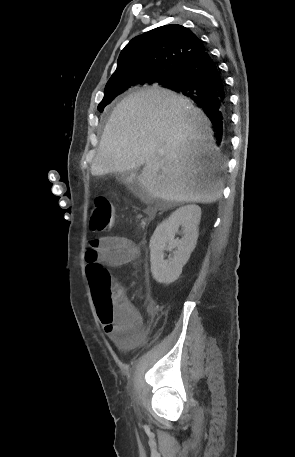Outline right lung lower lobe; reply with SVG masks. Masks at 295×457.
I'll list each match as a JSON object with an SVG mask.
<instances>
[{
    "instance_id": "98d812e1",
    "label": "right lung lower lobe",
    "mask_w": 295,
    "mask_h": 457,
    "mask_svg": "<svg viewBox=\"0 0 295 457\" xmlns=\"http://www.w3.org/2000/svg\"><path fill=\"white\" fill-rule=\"evenodd\" d=\"M165 88L191 98L204 110L216 133V143L223 146V132L229 121V100L219 68L207 51L185 64Z\"/></svg>"
}]
</instances>
